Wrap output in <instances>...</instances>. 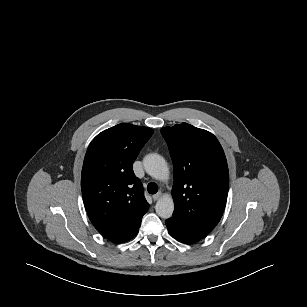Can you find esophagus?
Returning <instances> with one entry per match:
<instances>
[{"mask_svg":"<svg viewBox=\"0 0 307 307\" xmlns=\"http://www.w3.org/2000/svg\"><path fill=\"white\" fill-rule=\"evenodd\" d=\"M162 197V192H158L157 194L153 195V200L157 201Z\"/></svg>","mask_w":307,"mask_h":307,"instance_id":"1","label":"esophagus"}]
</instances>
